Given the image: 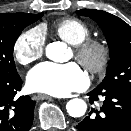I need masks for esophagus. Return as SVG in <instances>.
<instances>
[{
    "label": "esophagus",
    "instance_id": "esophagus-1",
    "mask_svg": "<svg viewBox=\"0 0 131 131\" xmlns=\"http://www.w3.org/2000/svg\"><path fill=\"white\" fill-rule=\"evenodd\" d=\"M35 97H36V99H38V100L52 99L51 96L46 95V94H41V93L37 94Z\"/></svg>",
    "mask_w": 131,
    "mask_h": 131
}]
</instances>
